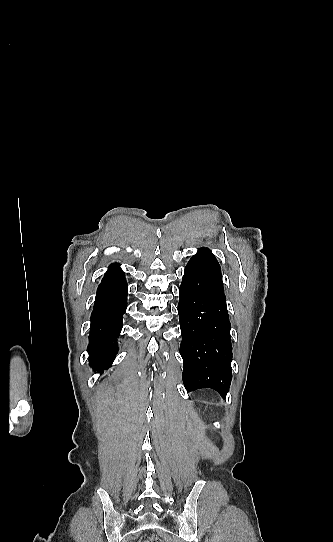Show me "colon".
<instances>
[{
  "label": "colon",
  "instance_id": "1",
  "mask_svg": "<svg viewBox=\"0 0 333 542\" xmlns=\"http://www.w3.org/2000/svg\"><path fill=\"white\" fill-rule=\"evenodd\" d=\"M142 542H163L162 536H143Z\"/></svg>",
  "mask_w": 333,
  "mask_h": 542
}]
</instances>
